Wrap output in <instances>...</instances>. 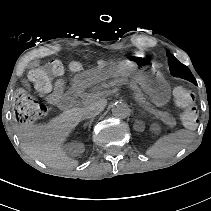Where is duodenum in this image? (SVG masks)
<instances>
[{
  "instance_id": "obj_1",
  "label": "duodenum",
  "mask_w": 211,
  "mask_h": 211,
  "mask_svg": "<svg viewBox=\"0 0 211 211\" xmlns=\"http://www.w3.org/2000/svg\"><path fill=\"white\" fill-rule=\"evenodd\" d=\"M80 92L78 84L73 85L58 101L57 105L62 110H69L75 103Z\"/></svg>"
}]
</instances>
